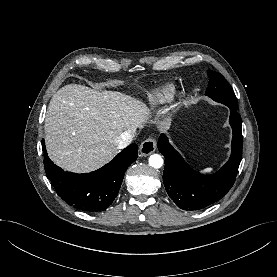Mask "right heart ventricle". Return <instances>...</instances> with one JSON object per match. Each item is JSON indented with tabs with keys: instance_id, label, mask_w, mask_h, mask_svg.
I'll use <instances>...</instances> for the list:
<instances>
[{
	"instance_id": "e07e8e85",
	"label": "right heart ventricle",
	"mask_w": 277,
	"mask_h": 277,
	"mask_svg": "<svg viewBox=\"0 0 277 277\" xmlns=\"http://www.w3.org/2000/svg\"><path fill=\"white\" fill-rule=\"evenodd\" d=\"M171 96V89L164 88L155 93L151 94L148 98V103L150 106H157L165 103Z\"/></svg>"
}]
</instances>
